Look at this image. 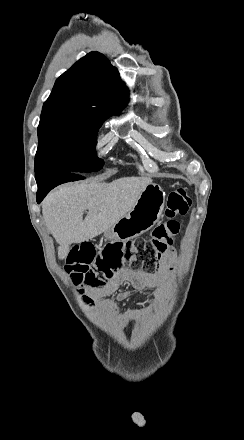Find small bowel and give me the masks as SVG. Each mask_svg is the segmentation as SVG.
Instances as JSON below:
<instances>
[{
  "mask_svg": "<svg viewBox=\"0 0 244 440\" xmlns=\"http://www.w3.org/2000/svg\"><path fill=\"white\" fill-rule=\"evenodd\" d=\"M165 270L159 274L144 273L136 269H122L114 273V275L99 289H89L86 291L87 299H95L99 303L100 310L113 323L123 324L134 318L132 312L119 315L114 304L107 296L115 292L120 286L130 283L135 290H143L150 287L159 286L168 269L172 268L177 257L173 248H170L162 258ZM131 291H121L117 294L116 300L122 301L130 295Z\"/></svg>",
  "mask_w": 244,
  "mask_h": 440,
  "instance_id": "small-bowel-1",
  "label": "small bowel"
}]
</instances>
